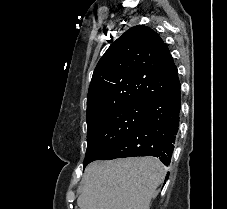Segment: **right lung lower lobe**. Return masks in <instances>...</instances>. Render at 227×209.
I'll list each match as a JSON object with an SVG mask.
<instances>
[{
	"label": "right lung lower lobe",
	"instance_id": "right-lung-lower-lobe-1",
	"mask_svg": "<svg viewBox=\"0 0 227 209\" xmlns=\"http://www.w3.org/2000/svg\"><path fill=\"white\" fill-rule=\"evenodd\" d=\"M164 71L172 87L147 103L140 123L101 160L154 156L165 165L170 164L179 126L181 91L175 64Z\"/></svg>",
	"mask_w": 227,
	"mask_h": 209
}]
</instances>
